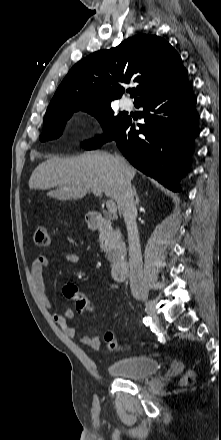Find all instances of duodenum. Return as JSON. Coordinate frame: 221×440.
Here are the masks:
<instances>
[{"mask_svg":"<svg viewBox=\"0 0 221 440\" xmlns=\"http://www.w3.org/2000/svg\"><path fill=\"white\" fill-rule=\"evenodd\" d=\"M89 224L93 229L101 231L106 236H114V231L111 223L104 218L100 213L93 212L89 215ZM129 271V261L127 258L116 260L112 266V277L116 281H123L126 279Z\"/></svg>","mask_w":221,"mask_h":440,"instance_id":"1","label":"duodenum"}]
</instances>
